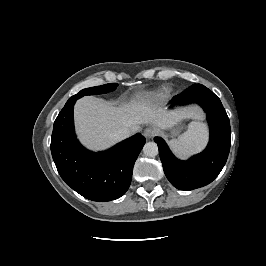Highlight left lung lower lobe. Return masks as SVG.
<instances>
[{
    "instance_id": "obj_1",
    "label": "left lung lower lobe",
    "mask_w": 266,
    "mask_h": 266,
    "mask_svg": "<svg viewBox=\"0 0 266 266\" xmlns=\"http://www.w3.org/2000/svg\"><path fill=\"white\" fill-rule=\"evenodd\" d=\"M196 102L207 113L210 140L206 149L187 161L177 159L160 137L154 138L166 177L180 190H193L211 183L221 172L228 158L231 128L220 99L208 88L195 84L170 102L174 105Z\"/></svg>"
}]
</instances>
